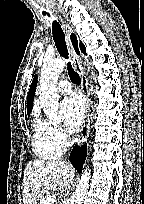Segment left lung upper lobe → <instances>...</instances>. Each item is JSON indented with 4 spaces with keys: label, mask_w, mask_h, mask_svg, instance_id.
I'll return each instance as SVG.
<instances>
[{
    "label": "left lung upper lobe",
    "mask_w": 144,
    "mask_h": 204,
    "mask_svg": "<svg viewBox=\"0 0 144 204\" xmlns=\"http://www.w3.org/2000/svg\"><path fill=\"white\" fill-rule=\"evenodd\" d=\"M80 49H81V52H83L84 54H86L85 52V47L82 43H80Z\"/></svg>",
    "instance_id": "obj_1"
}]
</instances>
